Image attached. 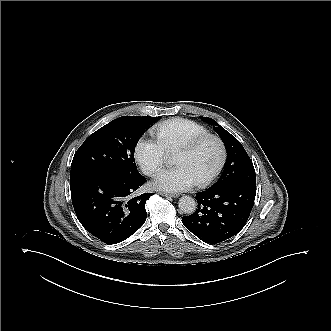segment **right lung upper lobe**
<instances>
[{
    "mask_svg": "<svg viewBox=\"0 0 331 331\" xmlns=\"http://www.w3.org/2000/svg\"><path fill=\"white\" fill-rule=\"evenodd\" d=\"M123 117L141 119V120H144V121L149 122V123H153V122L157 121L160 118V116L159 117H150V116H145V117L123 116Z\"/></svg>",
    "mask_w": 331,
    "mask_h": 331,
    "instance_id": "obj_1",
    "label": "right lung upper lobe"
}]
</instances>
